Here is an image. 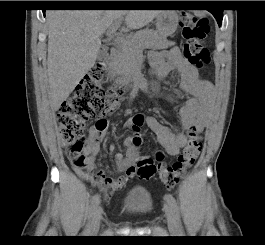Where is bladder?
I'll return each instance as SVG.
<instances>
[{
    "instance_id": "bladder-1",
    "label": "bladder",
    "mask_w": 265,
    "mask_h": 245,
    "mask_svg": "<svg viewBox=\"0 0 265 245\" xmlns=\"http://www.w3.org/2000/svg\"><path fill=\"white\" fill-rule=\"evenodd\" d=\"M152 208L151 196L144 186H134L129 190L121 205V210L126 213H148Z\"/></svg>"
}]
</instances>
